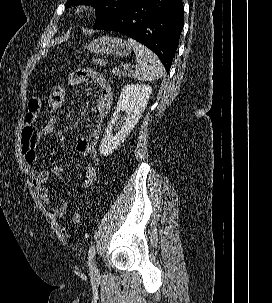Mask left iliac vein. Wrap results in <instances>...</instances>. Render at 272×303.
<instances>
[{
	"mask_svg": "<svg viewBox=\"0 0 272 303\" xmlns=\"http://www.w3.org/2000/svg\"><path fill=\"white\" fill-rule=\"evenodd\" d=\"M99 272L98 267H97V262L94 260L91 266V274L92 275H97Z\"/></svg>",
	"mask_w": 272,
	"mask_h": 303,
	"instance_id": "left-iliac-vein-1",
	"label": "left iliac vein"
}]
</instances>
